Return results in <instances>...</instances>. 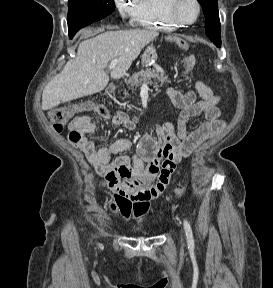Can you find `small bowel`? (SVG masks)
Wrapping results in <instances>:
<instances>
[{"label":"small bowel","mask_w":273,"mask_h":288,"mask_svg":"<svg viewBox=\"0 0 273 288\" xmlns=\"http://www.w3.org/2000/svg\"><path fill=\"white\" fill-rule=\"evenodd\" d=\"M196 94L200 99H196ZM167 95L180 109L176 128L170 123L159 125L155 134L143 135L135 147L126 138L118 139L109 146L97 147L86 136L97 129L89 116L76 117L70 124V143L86 156L99 177L101 187L111 193L110 210L124 218L144 216L150 201L163 193L173 174L179 173L182 162L200 144L218 135L225 127L219 107L221 98L204 82L197 81L195 91L181 92L168 88ZM94 111L114 126L127 130L135 128L136 119L123 111L111 115L101 105L96 106ZM199 115L205 121L189 131L190 120ZM75 131L81 134L79 138L73 136ZM126 151L132 153L117 156ZM154 178L156 183L147 185Z\"/></svg>","instance_id":"small-bowel-1"}]
</instances>
